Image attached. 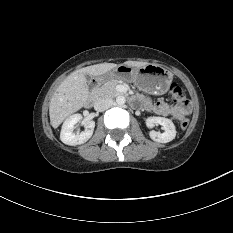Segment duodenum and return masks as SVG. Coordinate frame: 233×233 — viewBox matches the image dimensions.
<instances>
[{"instance_id": "410a0bca", "label": "duodenum", "mask_w": 233, "mask_h": 233, "mask_svg": "<svg viewBox=\"0 0 233 233\" xmlns=\"http://www.w3.org/2000/svg\"><path fill=\"white\" fill-rule=\"evenodd\" d=\"M99 84H100V80H93L91 83L92 90H95L99 86ZM93 99H94L93 95L89 96L86 100V103L90 104L93 101Z\"/></svg>"}]
</instances>
